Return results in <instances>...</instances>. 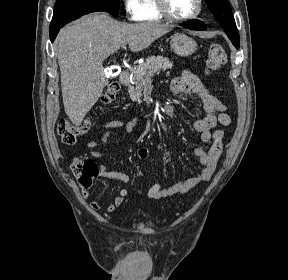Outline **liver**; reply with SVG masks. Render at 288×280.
<instances>
[{"label": "liver", "mask_w": 288, "mask_h": 280, "mask_svg": "<svg viewBox=\"0 0 288 280\" xmlns=\"http://www.w3.org/2000/svg\"><path fill=\"white\" fill-rule=\"evenodd\" d=\"M170 25L123 23L107 13H91L59 33L58 64L66 114L79 126L108 84L103 61L123 43L132 52L149 47Z\"/></svg>", "instance_id": "liver-1"}]
</instances>
